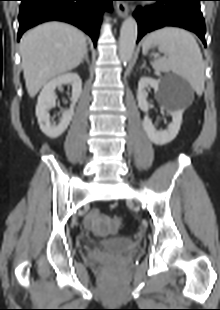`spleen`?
<instances>
[{"instance_id": "spleen-1", "label": "spleen", "mask_w": 220, "mask_h": 310, "mask_svg": "<svg viewBox=\"0 0 220 310\" xmlns=\"http://www.w3.org/2000/svg\"><path fill=\"white\" fill-rule=\"evenodd\" d=\"M154 45L165 56L152 62L153 68L160 72L172 71L183 77L201 95L205 80L204 62L193 35L184 29L165 27L147 35L143 43V54L146 55Z\"/></svg>"}]
</instances>
